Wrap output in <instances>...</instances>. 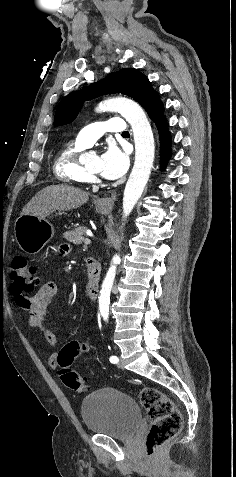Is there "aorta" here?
I'll return each mask as SVG.
<instances>
[{"instance_id":"1","label":"aorta","mask_w":236,"mask_h":477,"mask_svg":"<svg viewBox=\"0 0 236 477\" xmlns=\"http://www.w3.org/2000/svg\"><path fill=\"white\" fill-rule=\"evenodd\" d=\"M96 110L98 112H119L132 127L135 162L123 195V213L127 217L140 199L153 166L155 145L152 129L144 110L130 99L123 97L108 99L101 102ZM118 263H120V257L116 254L112 258V264L100 290L99 309L104 319H108L109 316L110 294Z\"/></svg>"}]
</instances>
